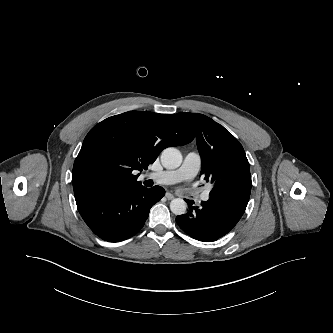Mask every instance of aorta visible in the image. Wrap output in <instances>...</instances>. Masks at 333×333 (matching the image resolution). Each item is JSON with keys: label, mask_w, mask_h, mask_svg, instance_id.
Wrapping results in <instances>:
<instances>
[{"label": "aorta", "mask_w": 333, "mask_h": 333, "mask_svg": "<svg viewBox=\"0 0 333 333\" xmlns=\"http://www.w3.org/2000/svg\"><path fill=\"white\" fill-rule=\"evenodd\" d=\"M161 163L166 169H176L182 163V154L178 149L168 147L161 153ZM186 208L187 204L181 198H175L170 203V210L175 215L184 214Z\"/></svg>", "instance_id": "762f6f07"}]
</instances>
